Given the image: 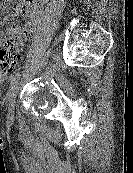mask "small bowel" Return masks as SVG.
Wrapping results in <instances>:
<instances>
[{
	"label": "small bowel",
	"mask_w": 133,
	"mask_h": 173,
	"mask_svg": "<svg viewBox=\"0 0 133 173\" xmlns=\"http://www.w3.org/2000/svg\"><path fill=\"white\" fill-rule=\"evenodd\" d=\"M47 0H23L20 2L13 10L12 15L21 16L26 15L28 22L24 29L20 30L18 27H12L9 29V33L19 34L22 38L31 35L39 22L43 6ZM9 39L5 36L3 32H0V47L5 46Z\"/></svg>",
	"instance_id": "1"
}]
</instances>
